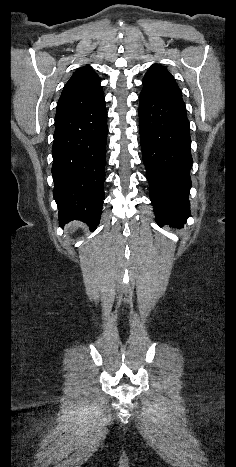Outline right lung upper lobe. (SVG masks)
Masks as SVG:
<instances>
[{
  "instance_id": "obj_1",
  "label": "right lung upper lobe",
  "mask_w": 236,
  "mask_h": 467,
  "mask_svg": "<svg viewBox=\"0 0 236 467\" xmlns=\"http://www.w3.org/2000/svg\"><path fill=\"white\" fill-rule=\"evenodd\" d=\"M100 79L90 66L78 69L59 98L55 122L74 116L103 98Z\"/></svg>"
}]
</instances>
